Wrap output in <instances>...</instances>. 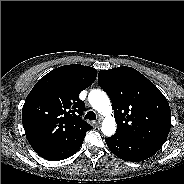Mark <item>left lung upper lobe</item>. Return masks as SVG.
I'll return each instance as SVG.
<instances>
[{
    "mask_svg": "<svg viewBox=\"0 0 184 184\" xmlns=\"http://www.w3.org/2000/svg\"><path fill=\"white\" fill-rule=\"evenodd\" d=\"M98 83L112 101L116 133L157 152L171 127V110L160 90L127 66L100 70Z\"/></svg>",
    "mask_w": 184,
    "mask_h": 184,
    "instance_id": "left-lung-upper-lobe-1",
    "label": "left lung upper lobe"
}]
</instances>
